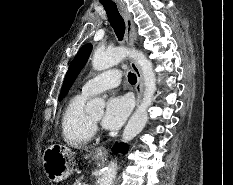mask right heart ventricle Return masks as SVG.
Masks as SVG:
<instances>
[{"mask_svg":"<svg viewBox=\"0 0 233 185\" xmlns=\"http://www.w3.org/2000/svg\"><path fill=\"white\" fill-rule=\"evenodd\" d=\"M87 96L77 94L66 105L61 119L64 141L74 147L87 145L94 134V126L84 111Z\"/></svg>","mask_w":233,"mask_h":185,"instance_id":"obj_1","label":"right heart ventricle"}]
</instances>
